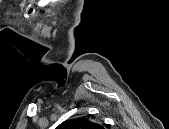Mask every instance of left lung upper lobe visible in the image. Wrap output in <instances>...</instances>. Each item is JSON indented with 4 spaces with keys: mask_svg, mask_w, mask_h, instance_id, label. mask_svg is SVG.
Wrapping results in <instances>:
<instances>
[{
    "mask_svg": "<svg viewBox=\"0 0 169 129\" xmlns=\"http://www.w3.org/2000/svg\"><path fill=\"white\" fill-rule=\"evenodd\" d=\"M59 129H102L103 127L89 119L66 120L58 126Z\"/></svg>",
    "mask_w": 169,
    "mask_h": 129,
    "instance_id": "obj_1",
    "label": "left lung upper lobe"
}]
</instances>
